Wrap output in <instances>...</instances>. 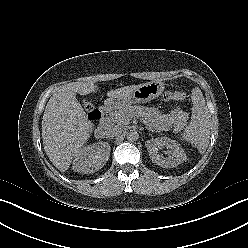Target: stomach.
<instances>
[{
  "mask_svg": "<svg viewBox=\"0 0 248 248\" xmlns=\"http://www.w3.org/2000/svg\"><path fill=\"white\" fill-rule=\"evenodd\" d=\"M163 90V82L157 80L150 81L140 84L125 96L108 98L106 100V105L112 109H120L131 104L146 103L158 97Z\"/></svg>",
  "mask_w": 248,
  "mask_h": 248,
  "instance_id": "0dacf381",
  "label": "stomach"
}]
</instances>
